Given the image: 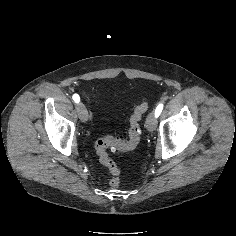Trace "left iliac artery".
Returning <instances> with one entry per match:
<instances>
[{
  "mask_svg": "<svg viewBox=\"0 0 236 236\" xmlns=\"http://www.w3.org/2000/svg\"><path fill=\"white\" fill-rule=\"evenodd\" d=\"M162 109H163V104L160 103V104L156 107V109H155V116H156V118L160 115V113L162 112Z\"/></svg>",
  "mask_w": 236,
  "mask_h": 236,
  "instance_id": "obj_1",
  "label": "left iliac artery"
}]
</instances>
